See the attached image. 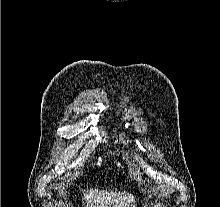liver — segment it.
Listing matches in <instances>:
<instances>
[{
    "mask_svg": "<svg viewBox=\"0 0 220 207\" xmlns=\"http://www.w3.org/2000/svg\"><path fill=\"white\" fill-rule=\"evenodd\" d=\"M84 200L86 207L88 205L90 207H129V204L134 201V196L90 189L89 193L84 194Z\"/></svg>",
    "mask_w": 220,
    "mask_h": 207,
    "instance_id": "6515ba94",
    "label": "liver"
}]
</instances>
